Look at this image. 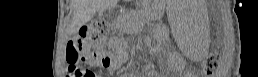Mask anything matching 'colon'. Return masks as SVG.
<instances>
[{
	"label": "colon",
	"instance_id": "5ec220e1",
	"mask_svg": "<svg viewBox=\"0 0 258 77\" xmlns=\"http://www.w3.org/2000/svg\"><path fill=\"white\" fill-rule=\"evenodd\" d=\"M107 28L100 20H95L81 28L79 39L82 46L96 49L106 42ZM83 50L79 49L77 43H71L66 52L67 71L71 77H86V72L80 68ZM219 66V56L210 54L202 61V69L207 74H214Z\"/></svg>",
	"mask_w": 258,
	"mask_h": 77
}]
</instances>
